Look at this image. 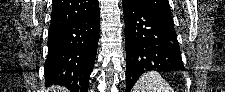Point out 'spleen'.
<instances>
[{
  "instance_id": "3e777b00",
  "label": "spleen",
  "mask_w": 225,
  "mask_h": 92,
  "mask_svg": "<svg viewBox=\"0 0 225 92\" xmlns=\"http://www.w3.org/2000/svg\"><path fill=\"white\" fill-rule=\"evenodd\" d=\"M132 92H174L158 72H146L135 83Z\"/></svg>"
}]
</instances>
